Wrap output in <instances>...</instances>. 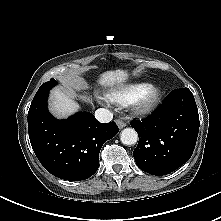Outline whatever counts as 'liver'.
Returning <instances> with one entry per match:
<instances>
[{"label":"liver","mask_w":221,"mask_h":221,"mask_svg":"<svg viewBox=\"0 0 221 221\" xmlns=\"http://www.w3.org/2000/svg\"><path fill=\"white\" fill-rule=\"evenodd\" d=\"M128 77L125 70L106 71L100 75L99 84L104 87H113L122 84ZM84 101L90 102V98L81 96ZM79 109V105L73 100V93L61 90H53L51 94V111L60 118L68 117Z\"/></svg>","instance_id":"6515ba94"}]
</instances>
